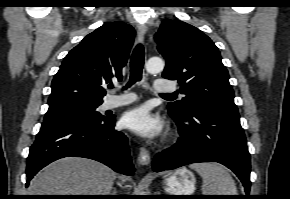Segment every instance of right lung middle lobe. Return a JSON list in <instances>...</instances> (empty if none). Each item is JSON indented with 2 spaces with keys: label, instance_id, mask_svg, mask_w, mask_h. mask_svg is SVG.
<instances>
[{
  "label": "right lung middle lobe",
  "instance_id": "dd1d6c3e",
  "mask_svg": "<svg viewBox=\"0 0 290 199\" xmlns=\"http://www.w3.org/2000/svg\"><path fill=\"white\" fill-rule=\"evenodd\" d=\"M100 104L78 108L62 113L49 114L44 117L42 124H62L86 121H103L106 116L101 115L97 108Z\"/></svg>",
  "mask_w": 290,
  "mask_h": 199
}]
</instances>
